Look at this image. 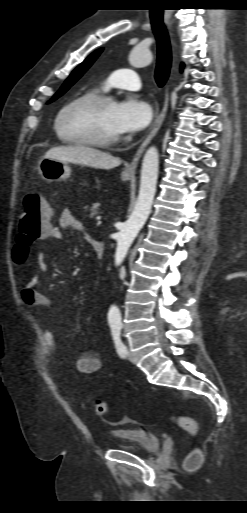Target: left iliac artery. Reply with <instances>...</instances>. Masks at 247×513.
Returning <instances> with one entry per match:
<instances>
[{
  "mask_svg": "<svg viewBox=\"0 0 247 513\" xmlns=\"http://www.w3.org/2000/svg\"><path fill=\"white\" fill-rule=\"evenodd\" d=\"M110 327L116 350L124 358L127 355V349L121 340L122 322L120 320L113 321L110 323Z\"/></svg>",
  "mask_w": 247,
  "mask_h": 513,
  "instance_id": "obj_1",
  "label": "left iliac artery"
}]
</instances>
